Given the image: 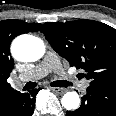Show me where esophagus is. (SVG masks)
Returning <instances> with one entry per match:
<instances>
[{
	"label": "esophagus",
	"mask_w": 116,
	"mask_h": 116,
	"mask_svg": "<svg viewBox=\"0 0 116 116\" xmlns=\"http://www.w3.org/2000/svg\"><path fill=\"white\" fill-rule=\"evenodd\" d=\"M49 88L56 93H65L67 91L65 88L51 87V86Z\"/></svg>",
	"instance_id": "1"
}]
</instances>
